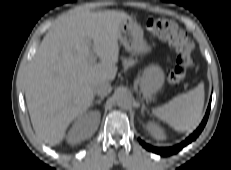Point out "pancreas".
I'll use <instances>...</instances> for the list:
<instances>
[{
	"label": "pancreas",
	"instance_id": "obj_1",
	"mask_svg": "<svg viewBox=\"0 0 231 170\" xmlns=\"http://www.w3.org/2000/svg\"><path fill=\"white\" fill-rule=\"evenodd\" d=\"M123 66L125 69L133 67L136 64V60L133 58H123Z\"/></svg>",
	"mask_w": 231,
	"mask_h": 170
}]
</instances>
